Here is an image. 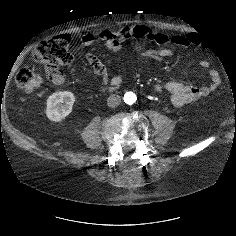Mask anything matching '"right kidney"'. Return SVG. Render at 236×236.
<instances>
[{"mask_svg":"<svg viewBox=\"0 0 236 236\" xmlns=\"http://www.w3.org/2000/svg\"><path fill=\"white\" fill-rule=\"evenodd\" d=\"M75 96L70 91H59L47 99L46 115L51 121H61L72 112Z\"/></svg>","mask_w":236,"mask_h":236,"instance_id":"ca27d5eb","label":"right kidney"}]
</instances>
